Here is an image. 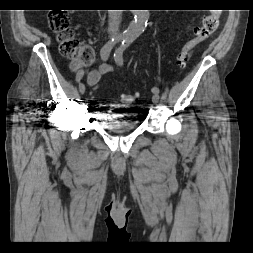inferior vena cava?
<instances>
[{
    "label": "inferior vena cava",
    "mask_w": 253,
    "mask_h": 253,
    "mask_svg": "<svg viewBox=\"0 0 253 253\" xmlns=\"http://www.w3.org/2000/svg\"><path fill=\"white\" fill-rule=\"evenodd\" d=\"M108 32L110 36L114 37L118 34L120 24V13L119 10H108Z\"/></svg>",
    "instance_id": "inferior-vena-cava-1"
}]
</instances>
